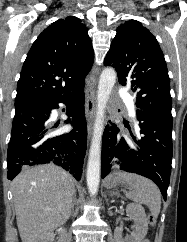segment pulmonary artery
I'll list each match as a JSON object with an SVG mask.
<instances>
[{"mask_svg":"<svg viewBox=\"0 0 187 242\" xmlns=\"http://www.w3.org/2000/svg\"><path fill=\"white\" fill-rule=\"evenodd\" d=\"M129 111L131 112L132 115H134V107H133V105H130Z\"/></svg>","mask_w":187,"mask_h":242,"instance_id":"e3ab8cb5","label":"pulmonary artery"}]
</instances>
